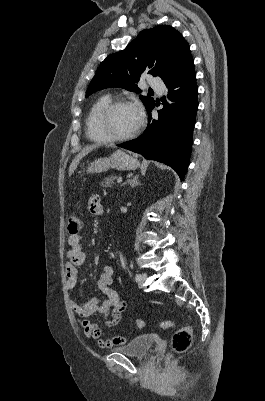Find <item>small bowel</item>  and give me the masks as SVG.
Masks as SVG:
<instances>
[{
    "label": "small bowel",
    "instance_id": "small-bowel-1",
    "mask_svg": "<svg viewBox=\"0 0 265 401\" xmlns=\"http://www.w3.org/2000/svg\"><path fill=\"white\" fill-rule=\"evenodd\" d=\"M88 209L95 216L103 214V207L98 196H93L90 199ZM81 241L82 238L78 234L68 237V261L65 265L66 285L68 289H73L76 286L79 277L78 267L86 260V253L82 248ZM113 276V268L111 266H104L97 280V286L106 296L105 299L92 297L83 303L70 302L75 314L82 319L81 326L84 335L89 339L96 340L98 346L103 349H112L126 342V338L123 336H115L109 339L102 338L100 328L87 319L92 314L99 313L104 316L107 327H114L119 323L126 304L112 288Z\"/></svg>",
    "mask_w": 265,
    "mask_h": 401
}]
</instances>
